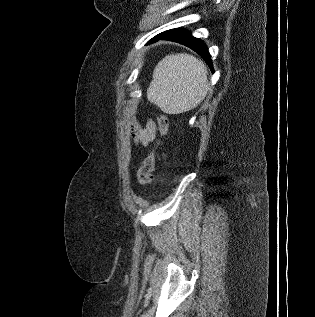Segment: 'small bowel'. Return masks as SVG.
Returning a JSON list of instances; mask_svg holds the SVG:
<instances>
[{"label":"small bowel","mask_w":315,"mask_h":317,"mask_svg":"<svg viewBox=\"0 0 315 317\" xmlns=\"http://www.w3.org/2000/svg\"><path fill=\"white\" fill-rule=\"evenodd\" d=\"M129 133L136 145L147 147L152 144L157 135V126L152 119H147L142 126L136 118L132 117L128 123Z\"/></svg>","instance_id":"obj_1"}]
</instances>
